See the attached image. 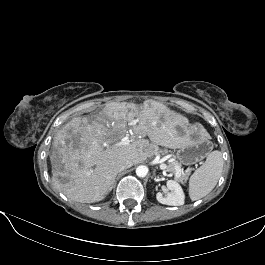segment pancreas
<instances>
[{"instance_id": "pancreas-1", "label": "pancreas", "mask_w": 265, "mask_h": 265, "mask_svg": "<svg viewBox=\"0 0 265 265\" xmlns=\"http://www.w3.org/2000/svg\"><path fill=\"white\" fill-rule=\"evenodd\" d=\"M178 168L181 170V164L178 161H174L168 165L166 170L176 174ZM188 175H189L188 171L184 172L181 170V176L175 178L179 181H184L188 178Z\"/></svg>"}]
</instances>
